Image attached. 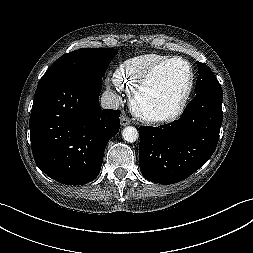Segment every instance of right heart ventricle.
<instances>
[{
	"mask_svg": "<svg viewBox=\"0 0 253 253\" xmlns=\"http://www.w3.org/2000/svg\"><path fill=\"white\" fill-rule=\"evenodd\" d=\"M169 58L158 53L138 55L123 61L113 73V83L132 94L143 74L155 63Z\"/></svg>",
	"mask_w": 253,
	"mask_h": 253,
	"instance_id": "e07e8e85",
	"label": "right heart ventricle"
}]
</instances>
